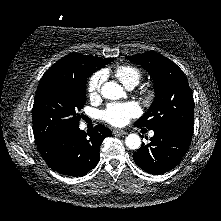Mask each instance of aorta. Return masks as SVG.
I'll return each instance as SVG.
<instances>
[{"label": "aorta", "mask_w": 221, "mask_h": 221, "mask_svg": "<svg viewBox=\"0 0 221 221\" xmlns=\"http://www.w3.org/2000/svg\"><path fill=\"white\" fill-rule=\"evenodd\" d=\"M101 94L104 98L109 100H118L124 97L125 92L123 87L116 82L110 81L103 84L101 87ZM126 146L131 150H137L141 145V138L137 134H129L125 139Z\"/></svg>", "instance_id": "1"}]
</instances>
